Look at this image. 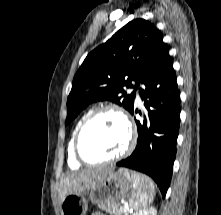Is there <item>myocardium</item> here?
<instances>
[{
  "label": "myocardium",
  "instance_id": "1",
  "mask_svg": "<svg viewBox=\"0 0 221 215\" xmlns=\"http://www.w3.org/2000/svg\"><path fill=\"white\" fill-rule=\"evenodd\" d=\"M107 112H111L116 114L124 123L126 130H127V142L125 147L117 154L106 158V159H102V160H92L87 158L82 149H81V140H82V136L84 134V131L86 130V128L89 126V124L95 119L97 118L99 115L103 114V113H107ZM136 138H137V133H136V128L133 124V122L131 121V119L129 118V116L127 115V113L121 109L118 106L115 105H104L101 106L95 110H93L80 124L75 137H74V141H73V150H74V154L75 157L77 158V160L82 163V164H86V165H100V164H105V163H111V162H115L117 160H120L121 158L127 156L134 148L135 143H136Z\"/></svg>",
  "mask_w": 221,
  "mask_h": 215
}]
</instances>
